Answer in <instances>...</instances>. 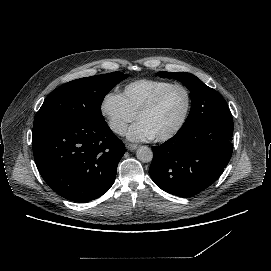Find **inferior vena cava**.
Returning <instances> with one entry per match:
<instances>
[{"mask_svg":"<svg viewBox=\"0 0 271 271\" xmlns=\"http://www.w3.org/2000/svg\"><path fill=\"white\" fill-rule=\"evenodd\" d=\"M110 127L115 133L119 135H125L127 130V126L123 121L111 122Z\"/></svg>","mask_w":271,"mask_h":271,"instance_id":"1","label":"inferior vena cava"}]
</instances>
